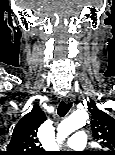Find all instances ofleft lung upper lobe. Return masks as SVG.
Masks as SVG:
<instances>
[{"mask_svg": "<svg viewBox=\"0 0 115 155\" xmlns=\"http://www.w3.org/2000/svg\"><path fill=\"white\" fill-rule=\"evenodd\" d=\"M91 112V129L96 140L106 148L98 155H115V119L99 110L94 101L88 102Z\"/></svg>", "mask_w": 115, "mask_h": 155, "instance_id": "obj_1", "label": "left lung upper lobe"}]
</instances>
